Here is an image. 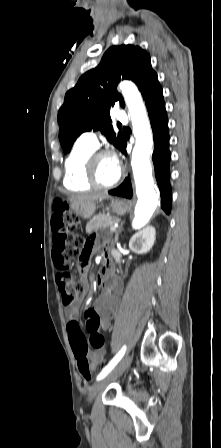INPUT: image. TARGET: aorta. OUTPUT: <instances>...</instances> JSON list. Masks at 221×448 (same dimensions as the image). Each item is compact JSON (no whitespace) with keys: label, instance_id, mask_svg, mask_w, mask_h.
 I'll return each mask as SVG.
<instances>
[{"label":"aorta","instance_id":"aorta-1","mask_svg":"<svg viewBox=\"0 0 221 448\" xmlns=\"http://www.w3.org/2000/svg\"><path fill=\"white\" fill-rule=\"evenodd\" d=\"M119 86L130 113L136 139L131 166L138 198L132 225L137 229L146 225L158 204V195L154 190L152 168L149 162L153 147V136L146 108L137 87L129 81L121 82Z\"/></svg>","mask_w":221,"mask_h":448}]
</instances>
